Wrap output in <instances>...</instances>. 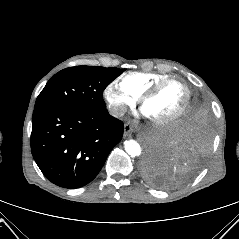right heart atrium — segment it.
I'll return each instance as SVG.
<instances>
[{
    "instance_id": "obj_1",
    "label": "right heart atrium",
    "mask_w": 239,
    "mask_h": 239,
    "mask_svg": "<svg viewBox=\"0 0 239 239\" xmlns=\"http://www.w3.org/2000/svg\"><path fill=\"white\" fill-rule=\"evenodd\" d=\"M104 98L114 116H121L126 108L132 106L138 99V97L121 87L117 81H112L105 87Z\"/></svg>"
}]
</instances>
